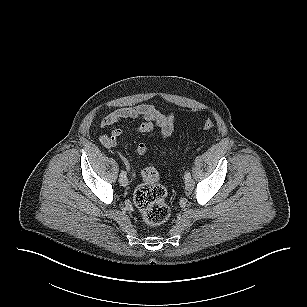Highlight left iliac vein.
Segmentation results:
<instances>
[{
  "mask_svg": "<svg viewBox=\"0 0 307 307\" xmlns=\"http://www.w3.org/2000/svg\"><path fill=\"white\" fill-rule=\"evenodd\" d=\"M194 180L191 177L185 178L186 190H192L194 188Z\"/></svg>",
  "mask_w": 307,
  "mask_h": 307,
  "instance_id": "1",
  "label": "left iliac vein"
}]
</instances>
